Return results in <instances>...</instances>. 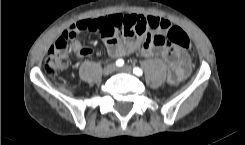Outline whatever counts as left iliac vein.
<instances>
[{"instance_id": "left-iliac-vein-1", "label": "left iliac vein", "mask_w": 245, "mask_h": 145, "mask_svg": "<svg viewBox=\"0 0 245 145\" xmlns=\"http://www.w3.org/2000/svg\"><path fill=\"white\" fill-rule=\"evenodd\" d=\"M119 72L123 73H131L132 72V67L131 66H124L122 68L117 69Z\"/></svg>"}]
</instances>
